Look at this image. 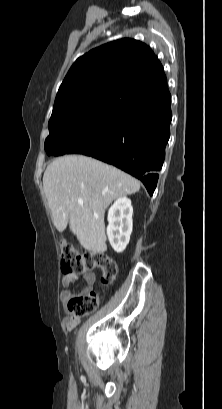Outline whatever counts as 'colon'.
Instances as JSON below:
<instances>
[{
	"label": "colon",
	"mask_w": 222,
	"mask_h": 409,
	"mask_svg": "<svg viewBox=\"0 0 222 409\" xmlns=\"http://www.w3.org/2000/svg\"><path fill=\"white\" fill-rule=\"evenodd\" d=\"M61 270L63 273L83 274L100 268L101 284H112L117 277L115 261L99 252L80 253L67 240L60 241ZM99 304V294L96 291H84L74 295L67 304L72 316L84 317L96 310Z\"/></svg>",
	"instance_id": "colon-1"
}]
</instances>
